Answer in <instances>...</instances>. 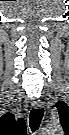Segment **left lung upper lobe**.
Returning a JSON list of instances; mask_svg holds the SVG:
<instances>
[{
	"instance_id": "5c2ea615",
	"label": "left lung upper lobe",
	"mask_w": 69,
	"mask_h": 135,
	"mask_svg": "<svg viewBox=\"0 0 69 135\" xmlns=\"http://www.w3.org/2000/svg\"><path fill=\"white\" fill-rule=\"evenodd\" d=\"M56 107L60 115V121L69 117V107L66 103L60 101L56 104Z\"/></svg>"
}]
</instances>
